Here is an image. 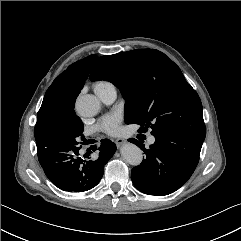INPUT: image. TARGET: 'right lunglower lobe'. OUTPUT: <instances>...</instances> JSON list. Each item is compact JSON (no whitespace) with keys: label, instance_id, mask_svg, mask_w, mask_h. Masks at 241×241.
<instances>
[{"label":"right lung lower lobe","instance_id":"1","mask_svg":"<svg viewBox=\"0 0 241 241\" xmlns=\"http://www.w3.org/2000/svg\"><path fill=\"white\" fill-rule=\"evenodd\" d=\"M37 143L38 159L46 176L63 191L83 192L95 187L103 176L104 165L116 151V145L108 140H101L96 160H85L80 157L81 147L50 145Z\"/></svg>","mask_w":241,"mask_h":241}]
</instances>
